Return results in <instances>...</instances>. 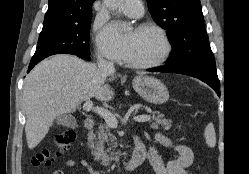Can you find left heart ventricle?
Segmentation results:
<instances>
[{
  "label": "left heart ventricle",
  "instance_id": "obj_1",
  "mask_svg": "<svg viewBox=\"0 0 249 174\" xmlns=\"http://www.w3.org/2000/svg\"><path fill=\"white\" fill-rule=\"evenodd\" d=\"M131 40L129 62H147L157 59L164 52V43L161 37L152 30H133L127 34Z\"/></svg>",
  "mask_w": 249,
  "mask_h": 174
}]
</instances>
